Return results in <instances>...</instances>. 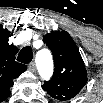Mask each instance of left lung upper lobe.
Masks as SVG:
<instances>
[{
    "mask_svg": "<svg viewBox=\"0 0 103 103\" xmlns=\"http://www.w3.org/2000/svg\"><path fill=\"white\" fill-rule=\"evenodd\" d=\"M43 41L52 51L55 66L43 90L58 100L75 97L87 82V71L75 42L68 32L54 31L46 34Z\"/></svg>",
    "mask_w": 103,
    "mask_h": 103,
    "instance_id": "obj_1",
    "label": "left lung upper lobe"
}]
</instances>
